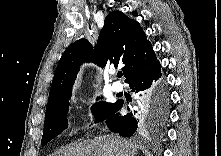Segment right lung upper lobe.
I'll return each mask as SVG.
<instances>
[{
	"mask_svg": "<svg viewBox=\"0 0 221 156\" xmlns=\"http://www.w3.org/2000/svg\"><path fill=\"white\" fill-rule=\"evenodd\" d=\"M85 61L97 63L101 67H117L121 62L127 81L135 73L153 64L156 54L140 24L121 11H113L105 18L94 50L88 40L82 38L62 54L52 81L47 107L72 92L80 64Z\"/></svg>",
	"mask_w": 221,
	"mask_h": 156,
	"instance_id": "obj_1",
	"label": "right lung upper lobe"
}]
</instances>
